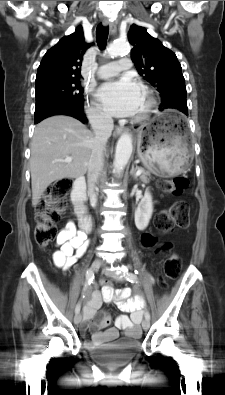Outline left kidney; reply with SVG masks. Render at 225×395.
I'll list each match as a JSON object with an SVG mask.
<instances>
[{"label":"left kidney","instance_id":"5707ae66","mask_svg":"<svg viewBox=\"0 0 225 395\" xmlns=\"http://www.w3.org/2000/svg\"><path fill=\"white\" fill-rule=\"evenodd\" d=\"M152 212V196L147 191L135 210V225L139 230H144L148 226Z\"/></svg>","mask_w":225,"mask_h":395}]
</instances>
